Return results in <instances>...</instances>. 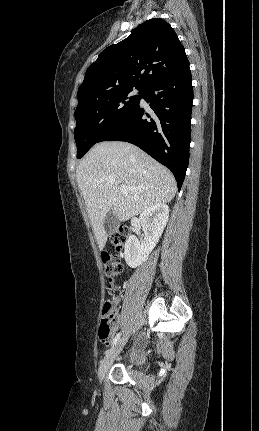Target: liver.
Listing matches in <instances>:
<instances>
[{"label":"liver","instance_id":"1","mask_svg":"<svg viewBox=\"0 0 259 431\" xmlns=\"http://www.w3.org/2000/svg\"><path fill=\"white\" fill-rule=\"evenodd\" d=\"M100 250L108 235L103 223L109 212L127 221L148 207L170 202L177 190L172 173L140 148L121 141L93 146L76 170ZM120 185L131 188L121 193Z\"/></svg>","mask_w":259,"mask_h":431}]
</instances>
